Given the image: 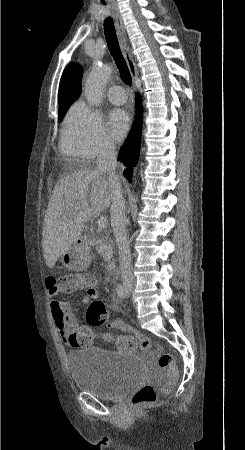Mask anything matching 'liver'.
I'll return each mask as SVG.
<instances>
[{
  "label": "liver",
  "instance_id": "obj_1",
  "mask_svg": "<svg viewBox=\"0 0 245 450\" xmlns=\"http://www.w3.org/2000/svg\"><path fill=\"white\" fill-rule=\"evenodd\" d=\"M112 196L110 183L98 169H77L59 179L42 229L43 253L49 268L80 238L84 224L110 206Z\"/></svg>",
  "mask_w": 245,
  "mask_h": 450
}]
</instances>
